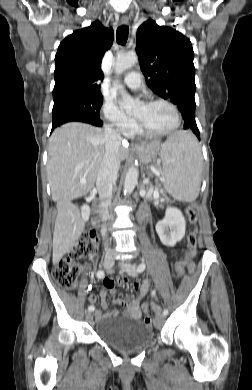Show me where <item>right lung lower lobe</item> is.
Masks as SVG:
<instances>
[{"label":"right lung lower lobe","mask_w":252,"mask_h":390,"mask_svg":"<svg viewBox=\"0 0 252 390\" xmlns=\"http://www.w3.org/2000/svg\"><path fill=\"white\" fill-rule=\"evenodd\" d=\"M71 121L85 122V123H89V124H92V125H95V126H98V127L102 126V124H103L102 121L101 122H97V121H93V120H90V119H87V118H84V117L64 116V117H59V118L53 120L52 131H53V129L55 127H58V126H60L63 123L71 122Z\"/></svg>","instance_id":"obj_1"}]
</instances>
